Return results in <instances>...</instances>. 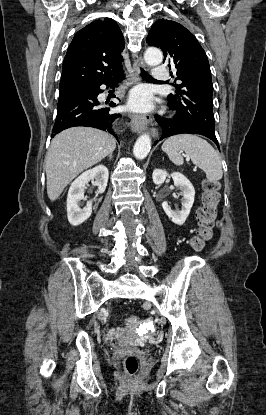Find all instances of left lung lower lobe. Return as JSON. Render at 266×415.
<instances>
[{"instance_id":"obj_1","label":"left lung lower lobe","mask_w":266,"mask_h":415,"mask_svg":"<svg viewBox=\"0 0 266 415\" xmlns=\"http://www.w3.org/2000/svg\"><path fill=\"white\" fill-rule=\"evenodd\" d=\"M171 109L175 110L172 107ZM155 119L159 123V125L162 127V136L160 140H162L163 138L176 135V134H183V133L200 134L211 139L214 143H216L217 147L219 148V144L215 136V132L209 131L201 127L200 125L184 120L180 116L179 112L172 119L160 117L158 115L155 116ZM157 142L158 141H155L154 145Z\"/></svg>"}]
</instances>
